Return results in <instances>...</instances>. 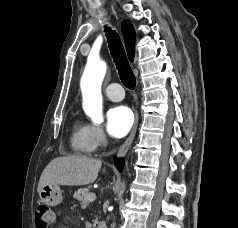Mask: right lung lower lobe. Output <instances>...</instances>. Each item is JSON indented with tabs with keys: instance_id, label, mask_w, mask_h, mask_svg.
Listing matches in <instances>:
<instances>
[{
	"instance_id": "1",
	"label": "right lung lower lobe",
	"mask_w": 238,
	"mask_h": 228,
	"mask_svg": "<svg viewBox=\"0 0 238 228\" xmlns=\"http://www.w3.org/2000/svg\"><path fill=\"white\" fill-rule=\"evenodd\" d=\"M115 165L117 169L122 172L124 166V159L123 158H115Z\"/></svg>"
}]
</instances>
